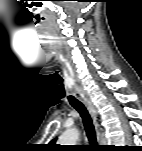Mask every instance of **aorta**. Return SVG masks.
<instances>
[{
  "mask_svg": "<svg viewBox=\"0 0 142 151\" xmlns=\"http://www.w3.org/2000/svg\"><path fill=\"white\" fill-rule=\"evenodd\" d=\"M79 138V131L76 128H69L62 133L58 139L60 145H76Z\"/></svg>",
  "mask_w": 142,
  "mask_h": 151,
  "instance_id": "1",
  "label": "aorta"
}]
</instances>
